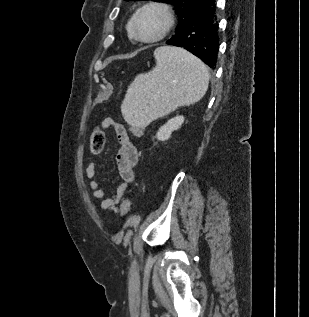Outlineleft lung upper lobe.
Returning <instances> with one entry per match:
<instances>
[{
  "label": "left lung upper lobe",
  "mask_w": 309,
  "mask_h": 317,
  "mask_svg": "<svg viewBox=\"0 0 309 317\" xmlns=\"http://www.w3.org/2000/svg\"><path fill=\"white\" fill-rule=\"evenodd\" d=\"M130 1V0H126ZM132 1H140V0H132ZM166 2L174 5L175 13L178 15V26L176 29V33L181 31L187 24V21L191 14L205 4L208 0H154Z\"/></svg>",
  "instance_id": "1"
}]
</instances>
